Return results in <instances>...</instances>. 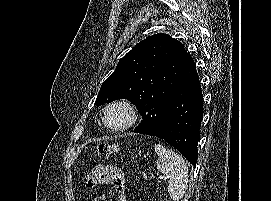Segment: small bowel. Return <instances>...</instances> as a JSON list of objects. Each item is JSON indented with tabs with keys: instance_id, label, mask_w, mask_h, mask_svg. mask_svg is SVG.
I'll return each instance as SVG.
<instances>
[{
	"instance_id": "small-bowel-1",
	"label": "small bowel",
	"mask_w": 271,
	"mask_h": 201,
	"mask_svg": "<svg viewBox=\"0 0 271 201\" xmlns=\"http://www.w3.org/2000/svg\"><path fill=\"white\" fill-rule=\"evenodd\" d=\"M110 183L119 195L120 201H126V181L122 170L114 166L98 165L88 175L86 187L94 189L99 185Z\"/></svg>"
}]
</instances>
